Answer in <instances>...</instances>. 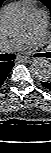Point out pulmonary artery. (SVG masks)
<instances>
[{"mask_svg": "<svg viewBox=\"0 0 51 153\" xmlns=\"http://www.w3.org/2000/svg\"><path fill=\"white\" fill-rule=\"evenodd\" d=\"M47 24V14L44 9L35 10L26 33L5 42L1 46L2 51L11 52L23 50L31 43L43 39L46 34Z\"/></svg>", "mask_w": 51, "mask_h": 153, "instance_id": "obj_1", "label": "pulmonary artery"}]
</instances>
